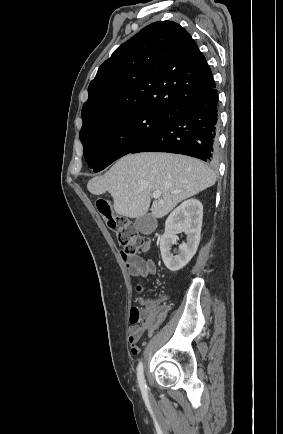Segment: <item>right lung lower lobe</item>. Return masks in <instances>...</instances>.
Masks as SVG:
<instances>
[{"label": "right lung lower lobe", "instance_id": "1", "mask_svg": "<svg viewBox=\"0 0 283 434\" xmlns=\"http://www.w3.org/2000/svg\"><path fill=\"white\" fill-rule=\"evenodd\" d=\"M218 96L212 90L192 99L130 153L169 152L213 162L217 153Z\"/></svg>", "mask_w": 283, "mask_h": 434}]
</instances>
